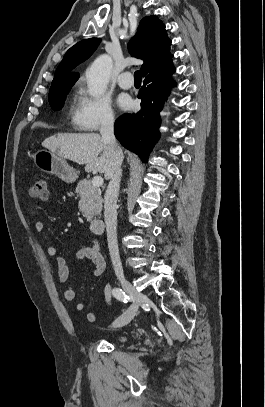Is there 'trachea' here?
Returning <instances> with one entry per match:
<instances>
[{"mask_svg": "<svg viewBox=\"0 0 265 407\" xmlns=\"http://www.w3.org/2000/svg\"><path fill=\"white\" fill-rule=\"evenodd\" d=\"M134 79H135V81H141L142 80V72L141 71H136L134 73Z\"/></svg>", "mask_w": 265, "mask_h": 407, "instance_id": "1", "label": "trachea"}]
</instances>
